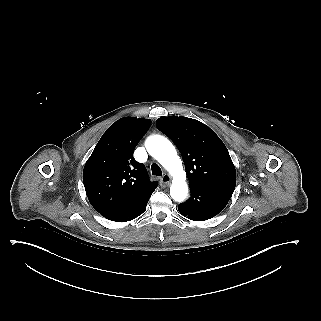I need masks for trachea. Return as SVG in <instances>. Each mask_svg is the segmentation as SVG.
Masks as SVG:
<instances>
[{"instance_id": "trachea-1", "label": "trachea", "mask_w": 321, "mask_h": 321, "mask_svg": "<svg viewBox=\"0 0 321 321\" xmlns=\"http://www.w3.org/2000/svg\"><path fill=\"white\" fill-rule=\"evenodd\" d=\"M151 170H152V174L153 175L162 176V171H161L160 167L156 163H153L151 165Z\"/></svg>"}]
</instances>
